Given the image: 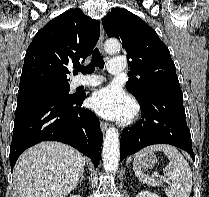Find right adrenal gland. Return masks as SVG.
<instances>
[{
  "instance_id": "right-adrenal-gland-1",
  "label": "right adrenal gland",
  "mask_w": 209,
  "mask_h": 197,
  "mask_svg": "<svg viewBox=\"0 0 209 197\" xmlns=\"http://www.w3.org/2000/svg\"><path fill=\"white\" fill-rule=\"evenodd\" d=\"M84 180V175L83 173L81 174V177H80V183Z\"/></svg>"
}]
</instances>
